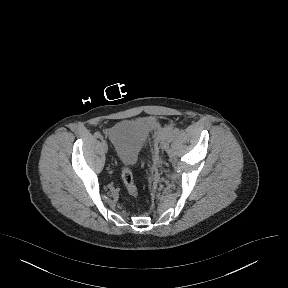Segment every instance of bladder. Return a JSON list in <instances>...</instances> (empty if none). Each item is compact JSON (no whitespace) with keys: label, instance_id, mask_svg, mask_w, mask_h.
Wrapping results in <instances>:
<instances>
[{"label":"bladder","instance_id":"1","mask_svg":"<svg viewBox=\"0 0 288 288\" xmlns=\"http://www.w3.org/2000/svg\"><path fill=\"white\" fill-rule=\"evenodd\" d=\"M150 131L144 121L119 123L108 131L117 159L123 164L136 161L140 147L145 143Z\"/></svg>","mask_w":288,"mask_h":288}]
</instances>
